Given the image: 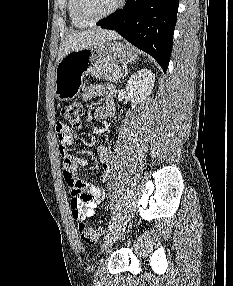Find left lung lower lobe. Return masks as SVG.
I'll list each match as a JSON object with an SVG mask.
<instances>
[{
    "label": "left lung lower lobe",
    "mask_w": 233,
    "mask_h": 286,
    "mask_svg": "<svg viewBox=\"0 0 233 286\" xmlns=\"http://www.w3.org/2000/svg\"><path fill=\"white\" fill-rule=\"evenodd\" d=\"M179 0H127L125 6L97 22L113 29L134 46L147 52L166 72Z\"/></svg>",
    "instance_id": "obj_1"
}]
</instances>
